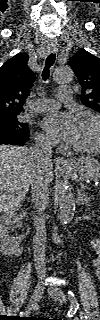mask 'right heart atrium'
Here are the masks:
<instances>
[{
	"instance_id": "1",
	"label": "right heart atrium",
	"mask_w": 100,
	"mask_h": 320,
	"mask_svg": "<svg viewBox=\"0 0 100 320\" xmlns=\"http://www.w3.org/2000/svg\"><path fill=\"white\" fill-rule=\"evenodd\" d=\"M36 141L38 144L45 146L52 144V140L50 139V137L44 133H38L36 136Z\"/></svg>"
}]
</instances>
